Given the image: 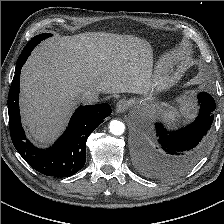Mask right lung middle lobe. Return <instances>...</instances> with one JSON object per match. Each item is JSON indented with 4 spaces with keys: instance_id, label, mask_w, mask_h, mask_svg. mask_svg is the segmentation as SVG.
Wrapping results in <instances>:
<instances>
[{
    "instance_id": "right-lung-middle-lobe-1",
    "label": "right lung middle lobe",
    "mask_w": 224,
    "mask_h": 224,
    "mask_svg": "<svg viewBox=\"0 0 224 224\" xmlns=\"http://www.w3.org/2000/svg\"><path fill=\"white\" fill-rule=\"evenodd\" d=\"M50 36H52V34H50V33H43V34L36 35L28 42V44L32 45V46H36L37 44L40 43V41H42Z\"/></svg>"
}]
</instances>
